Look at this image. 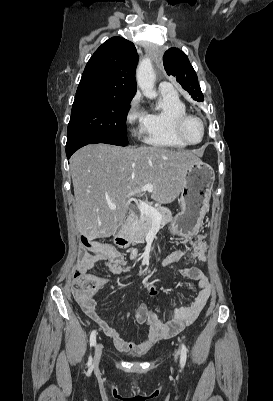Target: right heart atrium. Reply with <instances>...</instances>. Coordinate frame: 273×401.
<instances>
[{
    "instance_id": "1",
    "label": "right heart atrium",
    "mask_w": 273,
    "mask_h": 401,
    "mask_svg": "<svg viewBox=\"0 0 273 401\" xmlns=\"http://www.w3.org/2000/svg\"><path fill=\"white\" fill-rule=\"evenodd\" d=\"M146 112L141 106L139 96H135L130 104L126 114L127 123L130 125L131 134L135 138H141L145 132Z\"/></svg>"
}]
</instances>
